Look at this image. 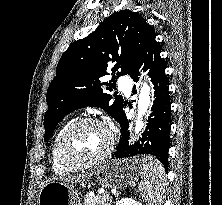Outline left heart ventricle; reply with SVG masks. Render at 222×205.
Listing matches in <instances>:
<instances>
[{
	"label": "left heart ventricle",
	"instance_id": "1",
	"mask_svg": "<svg viewBox=\"0 0 222 205\" xmlns=\"http://www.w3.org/2000/svg\"><path fill=\"white\" fill-rule=\"evenodd\" d=\"M106 131L99 125L83 124L65 139L64 150L73 160H88L99 155L107 145Z\"/></svg>",
	"mask_w": 222,
	"mask_h": 205
}]
</instances>
